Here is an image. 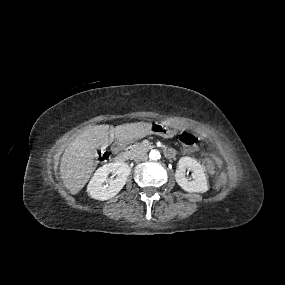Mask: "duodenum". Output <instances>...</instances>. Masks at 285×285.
<instances>
[{"instance_id":"duodenum-1","label":"duodenum","mask_w":285,"mask_h":285,"mask_svg":"<svg viewBox=\"0 0 285 285\" xmlns=\"http://www.w3.org/2000/svg\"><path fill=\"white\" fill-rule=\"evenodd\" d=\"M114 156L117 162L122 163L127 159V154L124 152V146L122 142L117 141L113 148ZM164 154L167 158H174L176 155L175 150L171 148L164 149Z\"/></svg>"}]
</instances>
